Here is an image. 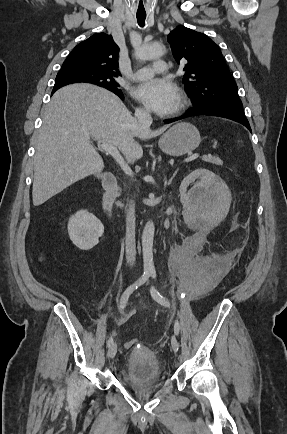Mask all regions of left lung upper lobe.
I'll return each instance as SVG.
<instances>
[{"label":"left lung upper lobe","instance_id":"obj_1","mask_svg":"<svg viewBox=\"0 0 287 434\" xmlns=\"http://www.w3.org/2000/svg\"><path fill=\"white\" fill-rule=\"evenodd\" d=\"M167 40L177 63L185 64L183 83L194 106L242 105L222 53L208 36L178 26Z\"/></svg>","mask_w":287,"mask_h":434}]
</instances>
